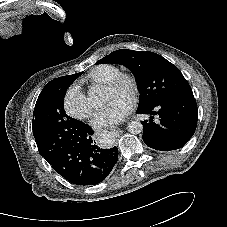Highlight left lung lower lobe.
I'll return each mask as SVG.
<instances>
[{
	"mask_svg": "<svg viewBox=\"0 0 227 227\" xmlns=\"http://www.w3.org/2000/svg\"><path fill=\"white\" fill-rule=\"evenodd\" d=\"M137 114H149L142 121L143 141L153 149L170 151L181 148L197 126V104L193 95H183L138 108ZM159 116V123L153 121Z\"/></svg>",
	"mask_w": 227,
	"mask_h": 227,
	"instance_id": "left-lung-lower-lobe-1",
	"label": "left lung lower lobe"
}]
</instances>
